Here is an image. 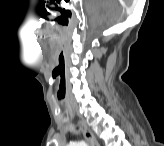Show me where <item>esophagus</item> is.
I'll use <instances>...</instances> for the list:
<instances>
[{
  "label": "esophagus",
  "instance_id": "34e87169",
  "mask_svg": "<svg viewBox=\"0 0 164 146\" xmlns=\"http://www.w3.org/2000/svg\"><path fill=\"white\" fill-rule=\"evenodd\" d=\"M78 125L83 133V136L85 137L87 142L90 144V146H98V142L93 132L91 131V129L87 126V124L84 121L79 120Z\"/></svg>",
  "mask_w": 164,
  "mask_h": 146
}]
</instances>
